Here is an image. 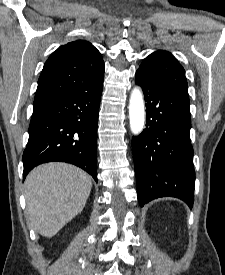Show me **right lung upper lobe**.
<instances>
[{
	"instance_id": "1",
	"label": "right lung upper lobe",
	"mask_w": 225,
	"mask_h": 275,
	"mask_svg": "<svg viewBox=\"0 0 225 275\" xmlns=\"http://www.w3.org/2000/svg\"><path fill=\"white\" fill-rule=\"evenodd\" d=\"M104 75L100 52L88 41L60 46L45 62L34 102L68 92L93 90Z\"/></svg>"
}]
</instances>
